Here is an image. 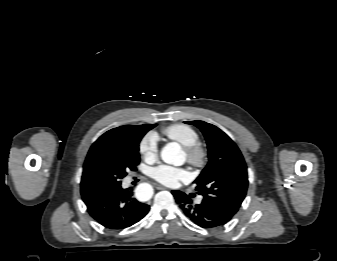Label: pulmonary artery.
<instances>
[{"mask_svg":"<svg viewBox=\"0 0 337 261\" xmlns=\"http://www.w3.org/2000/svg\"><path fill=\"white\" fill-rule=\"evenodd\" d=\"M201 201H202V198H199V199L197 200L198 203H200Z\"/></svg>","mask_w":337,"mask_h":261,"instance_id":"1","label":"pulmonary artery"}]
</instances>
